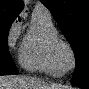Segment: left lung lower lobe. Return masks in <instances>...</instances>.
Wrapping results in <instances>:
<instances>
[{"label":"left lung lower lobe","mask_w":89,"mask_h":89,"mask_svg":"<svg viewBox=\"0 0 89 89\" xmlns=\"http://www.w3.org/2000/svg\"><path fill=\"white\" fill-rule=\"evenodd\" d=\"M76 86L82 88V89H89V86L87 83H80V84H77Z\"/></svg>","instance_id":"obj_1"}]
</instances>
